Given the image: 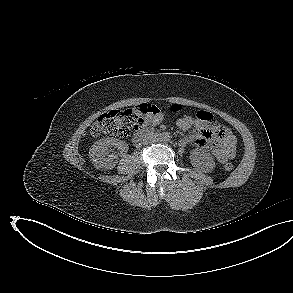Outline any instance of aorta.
Here are the masks:
<instances>
[{"mask_svg": "<svg viewBox=\"0 0 293 293\" xmlns=\"http://www.w3.org/2000/svg\"><path fill=\"white\" fill-rule=\"evenodd\" d=\"M170 140V136L168 133H163L160 136V141L161 142H168Z\"/></svg>", "mask_w": 293, "mask_h": 293, "instance_id": "1", "label": "aorta"}]
</instances>
